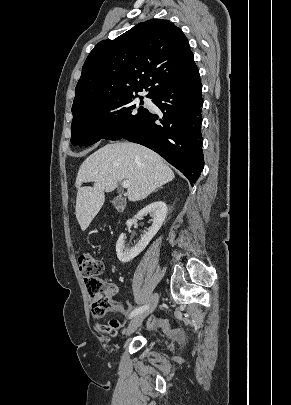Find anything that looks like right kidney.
<instances>
[{
  "instance_id": "1",
  "label": "right kidney",
  "mask_w": 291,
  "mask_h": 405,
  "mask_svg": "<svg viewBox=\"0 0 291 405\" xmlns=\"http://www.w3.org/2000/svg\"><path fill=\"white\" fill-rule=\"evenodd\" d=\"M146 214H150V216L153 218L152 225L150 228H148V231L145 232L141 240L131 249H125L124 247V240L125 236L124 234H121L117 243H116V253L118 259L122 263H127L134 259L137 255H139L149 244V242L152 240V238L156 235V233L159 231L161 228L163 222L165 221L166 215H167V206L164 202L162 201H156L151 203L150 205L146 206L142 210H140L137 214V216L141 217ZM133 224V220L130 219L126 222V225L128 227H131Z\"/></svg>"
}]
</instances>
